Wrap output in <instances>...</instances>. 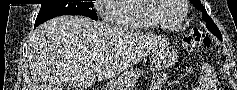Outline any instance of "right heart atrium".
Wrapping results in <instances>:
<instances>
[{
	"label": "right heart atrium",
	"instance_id": "right-heart-atrium-1",
	"mask_svg": "<svg viewBox=\"0 0 237 90\" xmlns=\"http://www.w3.org/2000/svg\"><path fill=\"white\" fill-rule=\"evenodd\" d=\"M117 0H99V2H97L98 6H107L108 3H116ZM99 15L102 19L106 18V14L103 11H99Z\"/></svg>",
	"mask_w": 237,
	"mask_h": 90
}]
</instances>
